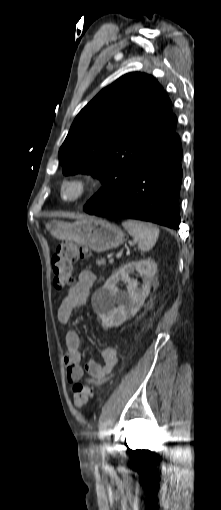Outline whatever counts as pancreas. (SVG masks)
<instances>
[{
	"label": "pancreas",
	"mask_w": 221,
	"mask_h": 510,
	"mask_svg": "<svg viewBox=\"0 0 221 510\" xmlns=\"http://www.w3.org/2000/svg\"><path fill=\"white\" fill-rule=\"evenodd\" d=\"M96 264L99 265V266L105 265L106 261H105V259H98V260H96Z\"/></svg>",
	"instance_id": "pancreas-1"
}]
</instances>
